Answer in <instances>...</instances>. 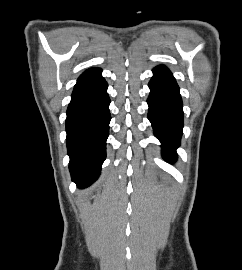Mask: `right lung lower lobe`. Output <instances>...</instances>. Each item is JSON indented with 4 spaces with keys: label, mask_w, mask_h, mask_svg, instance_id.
I'll return each instance as SVG.
<instances>
[{
    "label": "right lung lower lobe",
    "mask_w": 242,
    "mask_h": 270,
    "mask_svg": "<svg viewBox=\"0 0 242 270\" xmlns=\"http://www.w3.org/2000/svg\"><path fill=\"white\" fill-rule=\"evenodd\" d=\"M101 72L99 68H91L78 78L67 109L69 169L80 188L98 178L106 157L110 99Z\"/></svg>",
    "instance_id": "98d812e1"
}]
</instances>
